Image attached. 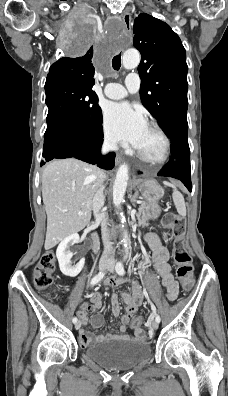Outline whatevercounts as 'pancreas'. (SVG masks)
Instances as JSON below:
<instances>
[{
	"instance_id": "cf45deb5",
	"label": "pancreas",
	"mask_w": 228,
	"mask_h": 396,
	"mask_svg": "<svg viewBox=\"0 0 228 396\" xmlns=\"http://www.w3.org/2000/svg\"><path fill=\"white\" fill-rule=\"evenodd\" d=\"M145 204L144 203H142V205L140 206V209H137V212H140V213H144L145 212ZM137 219L139 220V223L140 224H147L148 223V220L147 219H149V216H146V215H138L137 216Z\"/></svg>"
}]
</instances>
